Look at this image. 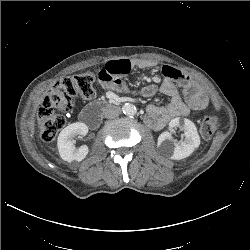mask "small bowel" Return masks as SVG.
<instances>
[{
  "label": "small bowel",
  "instance_id": "small-bowel-1",
  "mask_svg": "<svg viewBox=\"0 0 250 250\" xmlns=\"http://www.w3.org/2000/svg\"><path fill=\"white\" fill-rule=\"evenodd\" d=\"M140 67L149 66L148 62H141ZM135 63L127 59L107 62L98 73L101 85L110 90L124 91L126 85L122 76L130 73ZM164 80L161 85H147L139 94L143 97L153 96L157 91L171 98L167 106L149 105L146 109V122L155 130H160L171 120L189 115L199 114L207 105V98L198 84L185 73L170 66L161 68Z\"/></svg>",
  "mask_w": 250,
  "mask_h": 250
}]
</instances>
